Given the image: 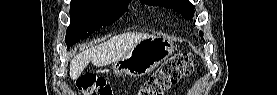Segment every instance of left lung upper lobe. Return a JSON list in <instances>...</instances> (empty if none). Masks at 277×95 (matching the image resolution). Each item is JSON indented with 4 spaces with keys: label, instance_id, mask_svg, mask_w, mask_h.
<instances>
[{
    "label": "left lung upper lobe",
    "instance_id": "1",
    "mask_svg": "<svg viewBox=\"0 0 277 95\" xmlns=\"http://www.w3.org/2000/svg\"><path fill=\"white\" fill-rule=\"evenodd\" d=\"M141 3L149 5H160L166 8H172L180 13L185 19L192 20L194 15V5L189 0H140Z\"/></svg>",
    "mask_w": 277,
    "mask_h": 95
}]
</instances>
